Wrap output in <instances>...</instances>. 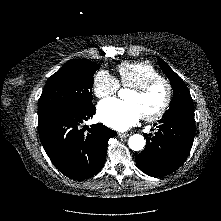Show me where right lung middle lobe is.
<instances>
[{"label": "right lung middle lobe", "instance_id": "dd1d6c3e", "mask_svg": "<svg viewBox=\"0 0 221 221\" xmlns=\"http://www.w3.org/2000/svg\"><path fill=\"white\" fill-rule=\"evenodd\" d=\"M99 68V65L85 59L68 61L46 82L38 102V114L91 104L93 76Z\"/></svg>", "mask_w": 221, "mask_h": 221}]
</instances>
